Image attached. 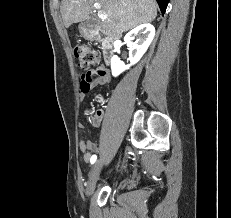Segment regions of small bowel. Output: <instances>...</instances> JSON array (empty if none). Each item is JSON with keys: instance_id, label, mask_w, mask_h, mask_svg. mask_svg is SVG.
Wrapping results in <instances>:
<instances>
[{"instance_id": "small-bowel-1", "label": "small bowel", "mask_w": 231, "mask_h": 218, "mask_svg": "<svg viewBox=\"0 0 231 218\" xmlns=\"http://www.w3.org/2000/svg\"><path fill=\"white\" fill-rule=\"evenodd\" d=\"M103 64L100 63L95 66L94 69H83L82 70V80L80 83L81 93L85 96L92 88L103 86L110 82L109 72L103 68ZM80 129H84L82 123L79 124ZM80 149L83 152V158L85 162H91L92 154L97 150V145L90 140L81 139Z\"/></svg>"}]
</instances>
